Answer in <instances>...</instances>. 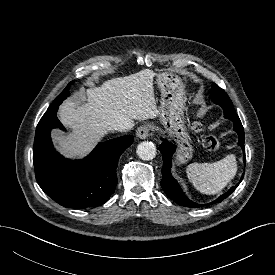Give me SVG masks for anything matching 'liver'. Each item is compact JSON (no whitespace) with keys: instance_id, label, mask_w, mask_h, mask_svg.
I'll return each mask as SVG.
<instances>
[{"instance_id":"liver-1","label":"liver","mask_w":275,"mask_h":275,"mask_svg":"<svg viewBox=\"0 0 275 275\" xmlns=\"http://www.w3.org/2000/svg\"><path fill=\"white\" fill-rule=\"evenodd\" d=\"M154 76L150 69H144L87 89L86 97L81 101L66 100L59 108V118L72 129V133L67 136L58 131L52 133L60 152L72 158L84 156L117 124H134V120L159 116Z\"/></svg>"}]
</instances>
